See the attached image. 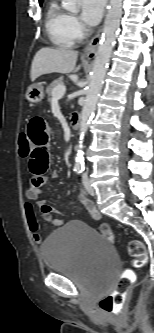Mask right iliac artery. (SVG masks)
<instances>
[{
  "label": "right iliac artery",
  "instance_id": "right-iliac-artery-1",
  "mask_svg": "<svg viewBox=\"0 0 154 333\" xmlns=\"http://www.w3.org/2000/svg\"><path fill=\"white\" fill-rule=\"evenodd\" d=\"M74 171L77 175H80L83 172V169L82 168H75Z\"/></svg>",
  "mask_w": 154,
  "mask_h": 333
}]
</instances>
